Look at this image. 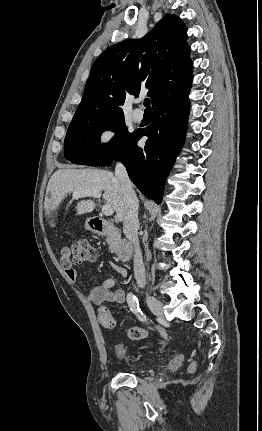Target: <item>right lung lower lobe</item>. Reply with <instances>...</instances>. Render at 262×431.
I'll list each match as a JSON object with an SVG mask.
<instances>
[{"label":"right lung lower lobe","instance_id":"98d812e1","mask_svg":"<svg viewBox=\"0 0 262 431\" xmlns=\"http://www.w3.org/2000/svg\"><path fill=\"white\" fill-rule=\"evenodd\" d=\"M189 92L153 108L152 124L135 131L121 155L122 161L136 187L157 204L161 203L165 180L184 142L189 115ZM148 136L145 147L137 140Z\"/></svg>","mask_w":262,"mask_h":431}]
</instances>
